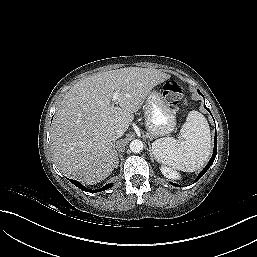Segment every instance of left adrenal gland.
I'll list each match as a JSON object with an SVG mask.
<instances>
[{"label":"left adrenal gland","mask_w":257,"mask_h":257,"mask_svg":"<svg viewBox=\"0 0 257 257\" xmlns=\"http://www.w3.org/2000/svg\"><path fill=\"white\" fill-rule=\"evenodd\" d=\"M149 152H150V157H151V159L153 160L154 158H153V153H152L151 145H150V144H149Z\"/></svg>","instance_id":"1"}]
</instances>
